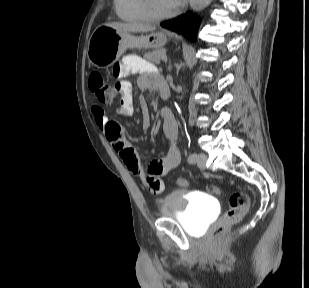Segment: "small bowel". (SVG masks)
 Returning <instances> with one entry per match:
<instances>
[{"label": "small bowel", "mask_w": 309, "mask_h": 288, "mask_svg": "<svg viewBox=\"0 0 309 288\" xmlns=\"http://www.w3.org/2000/svg\"><path fill=\"white\" fill-rule=\"evenodd\" d=\"M132 73H139L138 85L142 89H158L163 82L162 76L157 74L154 67L139 56L127 55L114 66L113 75L119 80L116 94L120 98L118 113L125 116L134 114V104L130 84L124 80ZM92 114L99 129L111 143L112 148L119 154L127 170L138 176L145 183L151 193L163 192L162 177L170 173L180 164V152L176 145L178 124L171 110L162 111L163 129L169 141L166 154L159 160L151 162L146 168L132 142L122 133L118 122L109 120L105 110L98 105L92 107ZM144 126H148V112L142 104Z\"/></svg>", "instance_id": "obj_1"}]
</instances>
